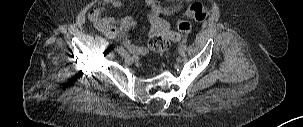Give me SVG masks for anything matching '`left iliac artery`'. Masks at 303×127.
<instances>
[{"label":"left iliac artery","instance_id":"obj_1","mask_svg":"<svg viewBox=\"0 0 303 127\" xmlns=\"http://www.w3.org/2000/svg\"><path fill=\"white\" fill-rule=\"evenodd\" d=\"M180 48H181L183 51H186V50H187V45H186V44H182Z\"/></svg>","mask_w":303,"mask_h":127}]
</instances>
